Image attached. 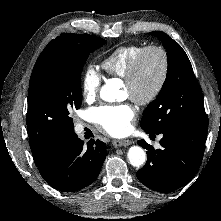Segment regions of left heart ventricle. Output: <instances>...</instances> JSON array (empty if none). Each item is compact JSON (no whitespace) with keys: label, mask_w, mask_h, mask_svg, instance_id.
Listing matches in <instances>:
<instances>
[{"label":"left heart ventricle","mask_w":221,"mask_h":221,"mask_svg":"<svg viewBox=\"0 0 221 221\" xmlns=\"http://www.w3.org/2000/svg\"><path fill=\"white\" fill-rule=\"evenodd\" d=\"M161 73V59L157 53H149L143 63L136 82L135 91L138 95L148 94L156 85ZM126 93L130 90L125 86Z\"/></svg>","instance_id":"obj_1"}]
</instances>
